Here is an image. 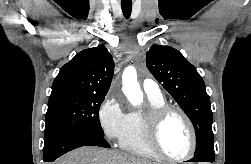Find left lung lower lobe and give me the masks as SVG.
I'll return each instance as SVG.
<instances>
[{
  "label": "left lung lower lobe",
  "instance_id": "left-lung-lower-lobe-1",
  "mask_svg": "<svg viewBox=\"0 0 251 164\" xmlns=\"http://www.w3.org/2000/svg\"><path fill=\"white\" fill-rule=\"evenodd\" d=\"M214 161L215 158H210L204 155L194 156L192 160H189V162H211V163H213Z\"/></svg>",
  "mask_w": 251,
  "mask_h": 164
}]
</instances>
